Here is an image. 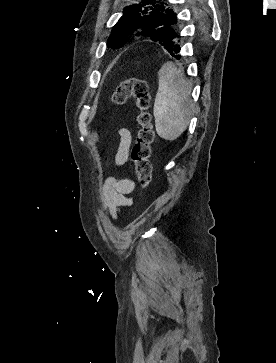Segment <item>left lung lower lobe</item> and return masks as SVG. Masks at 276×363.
I'll return each mask as SVG.
<instances>
[{"mask_svg": "<svg viewBox=\"0 0 276 363\" xmlns=\"http://www.w3.org/2000/svg\"><path fill=\"white\" fill-rule=\"evenodd\" d=\"M172 56L176 57L177 59H180V55H177V53L180 51V46L178 43L171 42L168 44L167 48H165Z\"/></svg>", "mask_w": 276, "mask_h": 363, "instance_id": "0a47b994", "label": "left lung lower lobe"}]
</instances>
